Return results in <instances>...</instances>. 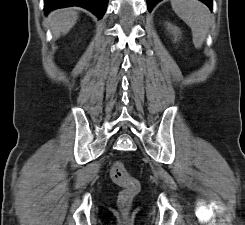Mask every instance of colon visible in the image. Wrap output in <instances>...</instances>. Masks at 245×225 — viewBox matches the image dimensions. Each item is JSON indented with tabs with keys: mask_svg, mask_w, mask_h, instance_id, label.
Returning <instances> with one entry per match:
<instances>
[{
	"mask_svg": "<svg viewBox=\"0 0 245 225\" xmlns=\"http://www.w3.org/2000/svg\"><path fill=\"white\" fill-rule=\"evenodd\" d=\"M111 179L122 187L118 194V207L122 212H128L133 199L140 190L139 181L130 175L123 161L116 160L110 166Z\"/></svg>",
	"mask_w": 245,
	"mask_h": 225,
	"instance_id": "obj_1",
	"label": "colon"
}]
</instances>
